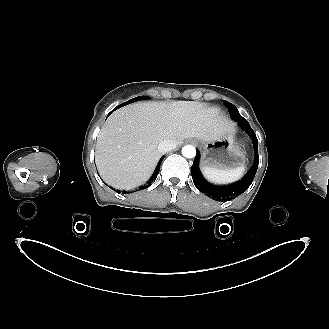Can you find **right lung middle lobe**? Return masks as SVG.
<instances>
[{
    "mask_svg": "<svg viewBox=\"0 0 329 329\" xmlns=\"http://www.w3.org/2000/svg\"><path fill=\"white\" fill-rule=\"evenodd\" d=\"M142 99H146V97L139 96V97L133 98V99H131V100H129V101H127V102H125V103H122L121 105L117 106V108L123 107V106H125V105H127V104H130V103H132V102H136V101H138V100H142Z\"/></svg>",
    "mask_w": 329,
    "mask_h": 329,
    "instance_id": "dd1d6c3e",
    "label": "right lung middle lobe"
}]
</instances>
